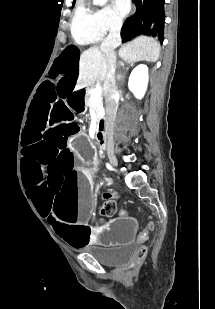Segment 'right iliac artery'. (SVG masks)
<instances>
[{
    "label": "right iliac artery",
    "instance_id": "1",
    "mask_svg": "<svg viewBox=\"0 0 215 309\" xmlns=\"http://www.w3.org/2000/svg\"><path fill=\"white\" fill-rule=\"evenodd\" d=\"M106 167L109 169V170H112V167H111V165L110 164H106Z\"/></svg>",
    "mask_w": 215,
    "mask_h": 309
}]
</instances>
